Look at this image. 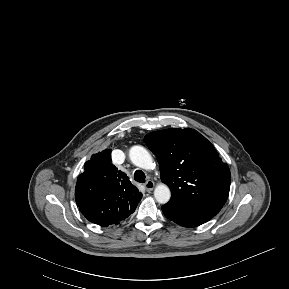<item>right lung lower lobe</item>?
<instances>
[{
  "mask_svg": "<svg viewBox=\"0 0 289 289\" xmlns=\"http://www.w3.org/2000/svg\"><path fill=\"white\" fill-rule=\"evenodd\" d=\"M133 212H134V211H133ZM133 212H131V213H133ZM131 213H128L127 215H125V216L122 217L121 219L117 220V221L114 222V223H110V224H119L120 221H122V220H124L125 218H127ZM110 224H102V225H104L103 227H106V226H108V225H110ZM100 226H101V225H100Z\"/></svg>",
  "mask_w": 289,
  "mask_h": 289,
  "instance_id": "98d812e1",
  "label": "right lung lower lobe"
}]
</instances>
